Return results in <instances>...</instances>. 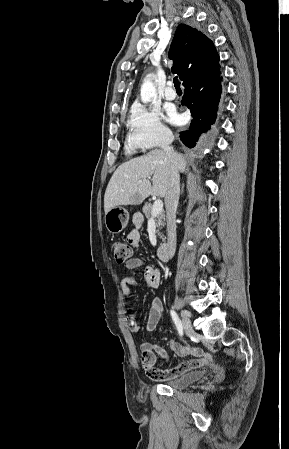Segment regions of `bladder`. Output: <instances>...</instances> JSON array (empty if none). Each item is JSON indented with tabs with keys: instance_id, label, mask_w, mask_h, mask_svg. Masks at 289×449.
I'll return each instance as SVG.
<instances>
[{
	"instance_id": "bladder-1",
	"label": "bladder",
	"mask_w": 289,
	"mask_h": 449,
	"mask_svg": "<svg viewBox=\"0 0 289 449\" xmlns=\"http://www.w3.org/2000/svg\"><path fill=\"white\" fill-rule=\"evenodd\" d=\"M205 377V372L202 370L190 371L181 375L180 377L163 381L162 384L172 389H187L193 384L201 381Z\"/></svg>"
}]
</instances>
